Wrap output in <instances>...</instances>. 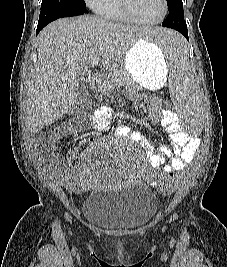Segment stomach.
Returning a JSON list of instances; mask_svg holds the SVG:
<instances>
[{"label": "stomach", "instance_id": "0dacf381", "mask_svg": "<svg viewBox=\"0 0 227 267\" xmlns=\"http://www.w3.org/2000/svg\"><path fill=\"white\" fill-rule=\"evenodd\" d=\"M123 68L140 85L157 90L166 82L168 63L157 43H148L144 37L137 40L123 58Z\"/></svg>", "mask_w": 227, "mask_h": 267}]
</instances>
